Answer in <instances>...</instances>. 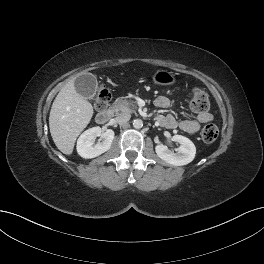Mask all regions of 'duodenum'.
I'll return each mask as SVG.
<instances>
[{"mask_svg": "<svg viewBox=\"0 0 264 264\" xmlns=\"http://www.w3.org/2000/svg\"><path fill=\"white\" fill-rule=\"evenodd\" d=\"M112 115H113L112 110L110 109L102 110L97 114L96 121L99 124H106L110 121V119L112 118Z\"/></svg>", "mask_w": 264, "mask_h": 264, "instance_id": "obj_1", "label": "duodenum"}]
</instances>
